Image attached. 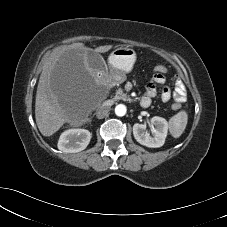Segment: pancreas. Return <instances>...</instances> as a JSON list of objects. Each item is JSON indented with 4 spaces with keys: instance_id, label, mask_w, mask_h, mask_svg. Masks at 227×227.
<instances>
[{
    "instance_id": "obj_1",
    "label": "pancreas",
    "mask_w": 227,
    "mask_h": 227,
    "mask_svg": "<svg viewBox=\"0 0 227 227\" xmlns=\"http://www.w3.org/2000/svg\"><path fill=\"white\" fill-rule=\"evenodd\" d=\"M114 101L116 100H123V101H128L129 97L126 93L123 92L121 88H119L116 92V95L113 98Z\"/></svg>"
}]
</instances>
